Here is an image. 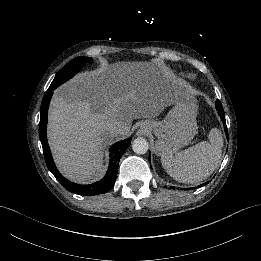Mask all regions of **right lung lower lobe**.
Returning a JSON list of instances; mask_svg holds the SVG:
<instances>
[{
    "mask_svg": "<svg viewBox=\"0 0 261 261\" xmlns=\"http://www.w3.org/2000/svg\"><path fill=\"white\" fill-rule=\"evenodd\" d=\"M52 95L53 90L47 91L42 99L39 123V137L48 169L69 192L85 196H94L108 192L115 184L120 158L130 146L131 138L119 141L110 148L108 170L101 180L86 185L69 181L56 168L47 141V116Z\"/></svg>",
    "mask_w": 261,
    "mask_h": 261,
    "instance_id": "1",
    "label": "right lung lower lobe"
}]
</instances>
